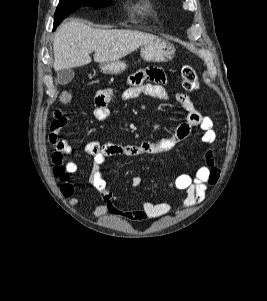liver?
Here are the masks:
<instances>
[{
	"instance_id": "liver-1",
	"label": "liver",
	"mask_w": 267,
	"mask_h": 301,
	"mask_svg": "<svg viewBox=\"0 0 267 301\" xmlns=\"http://www.w3.org/2000/svg\"><path fill=\"white\" fill-rule=\"evenodd\" d=\"M158 39L157 36L133 30L93 29L78 19L65 22L54 34L55 71L87 65L94 61L107 63L119 60L139 46Z\"/></svg>"
}]
</instances>
